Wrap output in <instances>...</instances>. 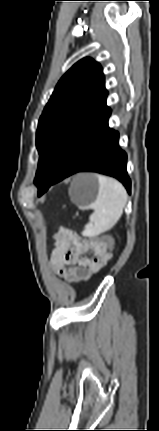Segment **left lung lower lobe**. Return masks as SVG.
<instances>
[{
	"mask_svg": "<svg viewBox=\"0 0 159 431\" xmlns=\"http://www.w3.org/2000/svg\"><path fill=\"white\" fill-rule=\"evenodd\" d=\"M108 109L94 122L83 128L70 145L59 171L43 191L77 172H98L117 178L128 193L131 181L126 171L127 155L119 146V133L108 126Z\"/></svg>",
	"mask_w": 159,
	"mask_h": 431,
	"instance_id": "obj_1",
	"label": "left lung lower lobe"
}]
</instances>
